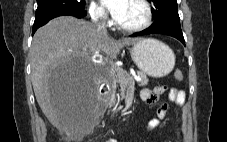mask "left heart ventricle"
I'll use <instances>...</instances> for the list:
<instances>
[{"label": "left heart ventricle", "mask_w": 227, "mask_h": 142, "mask_svg": "<svg viewBox=\"0 0 227 142\" xmlns=\"http://www.w3.org/2000/svg\"><path fill=\"white\" fill-rule=\"evenodd\" d=\"M144 14V8L138 0H128L125 10L117 22L126 26L137 25L143 21Z\"/></svg>", "instance_id": "1"}]
</instances>
